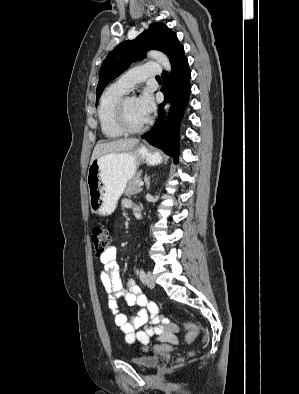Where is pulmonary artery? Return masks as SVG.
Masks as SVG:
<instances>
[{
    "label": "pulmonary artery",
    "mask_w": 299,
    "mask_h": 394,
    "mask_svg": "<svg viewBox=\"0 0 299 394\" xmlns=\"http://www.w3.org/2000/svg\"><path fill=\"white\" fill-rule=\"evenodd\" d=\"M161 72V68L158 64H145L125 72L118 78L116 84L125 91H130L135 85L143 82L147 78L159 76Z\"/></svg>",
    "instance_id": "e3ab8cb5"
}]
</instances>
